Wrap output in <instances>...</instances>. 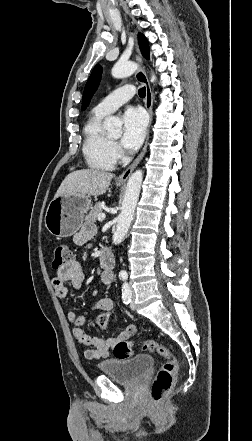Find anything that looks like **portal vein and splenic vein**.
Here are the masks:
<instances>
[{
  "label": "portal vein and splenic vein",
  "mask_w": 252,
  "mask_h": 441,
  "mask_svg": "<svg viewBox=\"0 0 252 441\" xmlns=\"http://www.w3.org/2000/svg\"><path fill=\"white\" fill-rule=\"evenodd\" d=\"M106 218V215L104 213H100L98 215V221H103Z\"/></svg>",
  "instance_id": "1"
}]
</instances>
